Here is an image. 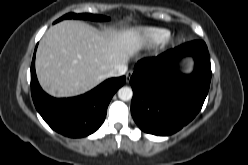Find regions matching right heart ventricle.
I'll list each match as a JSON object with an SVG mask.
<instances>
[{"instance_id": "e07e8e85", "label": "right heart ventricle", "mask_w": 248, "mask_h": 165, "mask_svg": "<svg viewBox=\"0 0 248 165\" xmlns=\"http://www.w3.org/2000/svg\"><path fill=\"white\" fill-rule=\"evenodd\" d=\"M169 36V31L163 28H146L143 30V41L147 45H157Z\"/></svg>"}]
</instances>
